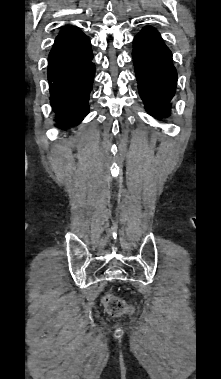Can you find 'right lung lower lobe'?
<instances>
[{
	"label": "right lung lower lobe",
	"mask_w": 221,
	"mask_h": 379,
	"mask_svg": "<svg viewBox=\"0 0 221 379\" xmlns=\"http://www.w3.org/2000/svg\"><path fill=\"white\" fill-rule=\"evenodd\" d=\"M89 38L78 27L62 31L48 57L50 100L56 121L77 125L89 112L95 65Z\"/></svg>",
	"instance_id": "98d812e1"
}]
</instances>
